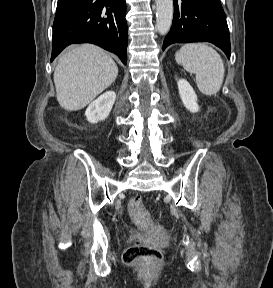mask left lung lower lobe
Masks as SVG:
<instances>
[{
	"mask_svg": "<svg viewBox=\"0 0 273 288\" xmlns=\"http://www.w3.org/2000/svg\"><path fill=\"white\" fill-rule=\"evenodd\" d=\"M174 16L163 50L173 43L211 42L230 58V36L220 0H173Z\"/></svg>",
	"mask_w": 273,
	"mask_h": 288,
	"instance_id": "left-lung-lower-lobe-1",
	"label": "left lung lower lobe"
}]
</instances>
